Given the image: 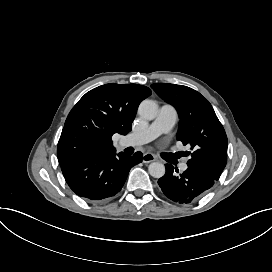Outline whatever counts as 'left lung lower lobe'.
<instances>
[{"label":"left lung lower lobe","instance_id":"left-lung-lower-lobe-1","mask_svg":"<svg viewBox=\"0 0 272 272\" xmlns=\"http://www.w3.org/2000/svg\"><path fill=\"white\" fill-rule=\"evenodd\" d=\"M166 173L158 180L164 195L179 204H189L203 196L217 181L200 169L188 167L180 175L174 167L166 164Z\"/></svg>","mask_w":272,"mask_h":272}]
</instances>
